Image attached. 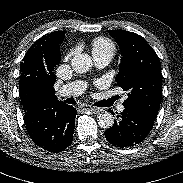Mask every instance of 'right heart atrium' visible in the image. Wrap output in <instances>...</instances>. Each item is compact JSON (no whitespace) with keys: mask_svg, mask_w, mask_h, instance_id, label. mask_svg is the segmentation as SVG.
<instances>
[{"mask_svg":"<svg viewBox=\"0 0 183 183\" xmlns=\"http://www.w3.org/2000/svg\"><path fill=\"white\" fill-rule=\"evenodd\" d=\"M70 55H71L70 53H69V54H67L66 59H68Z\"/></svg>","mask_w":183,"mask_h":183,"instance_id":"right-heart-atrium-1","label":"right heart atrium"}]
</instances>
